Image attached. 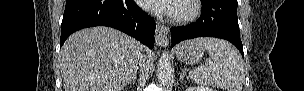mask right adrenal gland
<instances>
[{
  "instance_id": "1",
  "label": "right adrenal gland",
  "mask_w": 304,
  "mask_h": 91,
  "mask_svg": "<svg viewBox=\"0 0 304 91\" xmlns=\"http://www.w3.org/2000/svg\"><path fill=\"white\" fill-rule=\"evenodd\" d=\"M136 72L133 74L132 78L129 80V82L127 84H130L131 82H133L134 84L136 83Z\"/></svg>"
}]
</instances>
